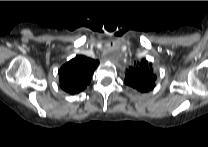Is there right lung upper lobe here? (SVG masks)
I'll return each instance as SVG.
<instances>
[{"instance_id": "cb5924a9", "label": "right lung upper lobe", "mask_w": 208, "mask_h": 147, "mask_svg": "<svg viewBox=\"0 0 208 147\" xmlns=\"http://www.w3.org/2000/svg\"><path fill=\"white\" fill-rule=\"evenodd\" d=\"M98 64V60H93L82 55L76 56L59 70L61 88L70 94L83 91L90 83L92 74Z\"/></svg>"}]
</instances>
